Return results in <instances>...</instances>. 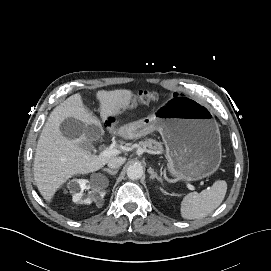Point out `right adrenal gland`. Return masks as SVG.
I'll return each mask as SVG.
<instances>
[{
  "instance_id": "2a0ac1e0",
  "label": "right adrenal gland",
  "mask_w": 271,
  "mask_h": 271,
  "mask_svg": "<svg viewBox=\"0 0 271 271\" xmlns=\"http://www.w3.org/2000/svg\"><path fill=\"white\" fill-rule=\"evenodd\" d=\"M103 171H107L109 174L115 175L118 172V169L117 170H111L109 168H104Z\"/></svg>"
}]
</instances>
